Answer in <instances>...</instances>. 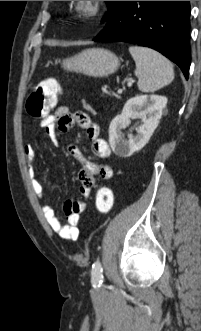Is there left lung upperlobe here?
I'll list each match as a JSON object with an SVG mask.
<instances>
[{"instance_id":"left-lung-upper-lobe-1","label":"left lung upper lobe","mask_w":201,"mask_h":331,"mask_svg":"<svg viewBox=\"0 0 201 331\" xmlns=\"http://www.w3.org/2000/svg\"><path fill=\"white\" fill-rule=\"evenodd\" d=\"M121 1H106L109 6V12L103 18V21L108 20L117 10Z\"/></svg>"}]
</instances>
